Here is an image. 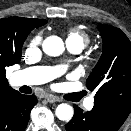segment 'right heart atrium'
<instances>
[{
    "instance_id": "d8ad5b80",
    "label": "right heart atrium",
    "mask_w": 131,
    "mask_h": 131,
    "mask_svg": "<svg viewBox=\"0 0 131 131\" xmlns=\"http://www.w3.org/2000/svg\"><path fill=\"white\" fill-rule=\"evenodd\" d=\"M42 43V35L36 34L30 38L27 48L28 50H36Z\"/></svg>"
}]
</instances>
